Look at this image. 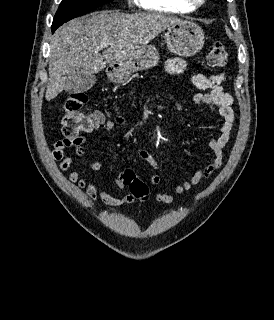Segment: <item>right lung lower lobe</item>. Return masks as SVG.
<instances>
[{"label":"right lung lower lobe","mask_w":274,"mask_h":320,"mask_svg":"<svg viewBox=\"0 0 274 320\" xmlns=\"http://www.w3.org/2000/svg\"><path fill=\"white\" fill-rule=\"evenodd\" d=\"M57 28H52V33H54V31L56 30Z\"/></svg>","instance_id":"obj_1"}]
</instances>
